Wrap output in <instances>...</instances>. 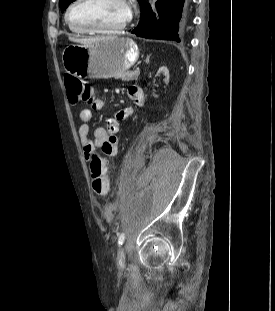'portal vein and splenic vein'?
Here are the masks:
<instances>
[{"instance_id": "obj_1", "label": "portal vein and splenic vein", "mask_w": 275, "mask_h": 311, "mask_svg": "<svg viewBox=\"0 0 275 311\" xmlns=\"http://www.w3.org/2000/svg\"><path fill=\"white\" fill-rule=\"evenodd\" d=\"M136 72L140 73V68L139 67L136 68Z\"/></svg>"}]
</instances>
